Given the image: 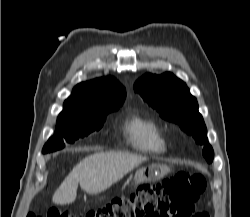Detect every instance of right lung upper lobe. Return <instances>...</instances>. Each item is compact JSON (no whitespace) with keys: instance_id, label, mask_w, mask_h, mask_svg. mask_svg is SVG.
Here are the masks:
<instances>
[{"instance_id":"obj_1","label":"right lung upper lobe","mask_w":250,"mask_h":217,"mask_svg":"<svg viewBox=\"0 0 250 217\" xmlns=\"http://www.w3.org/2000/svg\"><path fill=\"white\" fill-rule=\"evenodd\" d=\"M123 86L113 77L79 83L64 102L57 121L83 120L103 112L117 110L125 99Z\"/></svg>"}]
</instances>
